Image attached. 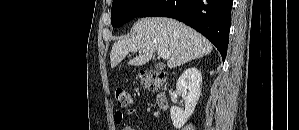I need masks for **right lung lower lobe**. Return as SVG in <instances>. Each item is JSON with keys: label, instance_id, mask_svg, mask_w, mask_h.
Segmentation results:
<instances>
[{"label": "right lung lower lobe", "instance_id": "right-lung-lower-lobe-1", "mask_svg": "<svg viewBox=\"0 0 299 130\" xmlns=\"http://www.w3.org/2000/svg\"><path fill=\"white\" fill-rule=\"evenodd\" d=\"M232 0H154L138 17L162 16L177 19L209 39L226 57Z\"/></svg>", "mask_w": 299, "mask_h": 130}]
</instances>
